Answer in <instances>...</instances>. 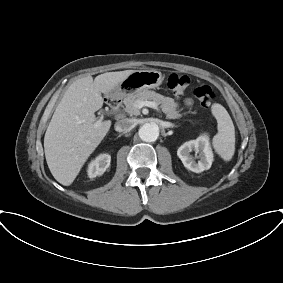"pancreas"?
I'll return each instance as SVG.
<instances>
[{"instance_id": "cf45deb5", "label": "pancreas", "mask_w": 283, "mask_h": 283, "mask_svg": "<svg viewBox=\"0 0 283 283\" xmlns=\"http://www.w3.org/2000/svg\"><path fill=\"white\" fill-rule=\"evenodd\" d=\"M152 100L161 106L162 111L166 114L169 119H178L182 115L178 111V103L173 98L164 97L154 91L143 90L134 94H128L123 102L125 105V112L129 115H139L140 111L135 106L137 101Z\"/></svg>"}]
</instances>
